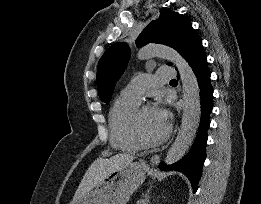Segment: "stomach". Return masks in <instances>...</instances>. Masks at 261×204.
<instances>
[{
    "label": "stomach",
    "mask_w": 261,
    "mask_h": 204,
    "mask_svg": "<svg viewBox=\"0 0 261 204\" xmlns=\"http://www.w3.org/2000/svg\"><path fill=\"white\" fill-rule=\"evenodd\" d=\"M146 178L141 162H132L110 173L93 190L70 204H126Z\"/></svg>",
    "instance_id": "obj_1"
}]
</instances>
